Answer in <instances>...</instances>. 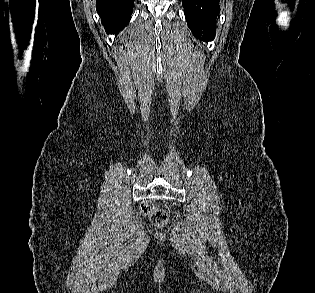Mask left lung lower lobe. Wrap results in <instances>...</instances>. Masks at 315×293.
<instances>
[{
    "mask_svg": "<svg viewBox=\"0 0 315 293\" xmlns=\"http://www.w3.org/2000/svg\"><path fill=\"white\" fill-rule=\"evenodd\" d=\"M184 14L190 30L201 41L215 37V20L219 14L218 0H182Z\"/></svg>",
    "mask_w": 315,
    "mask_h": 293,
    "instance_id": "0a47b994",
    "label": "left lung lower lobe"
}]
</instances>
